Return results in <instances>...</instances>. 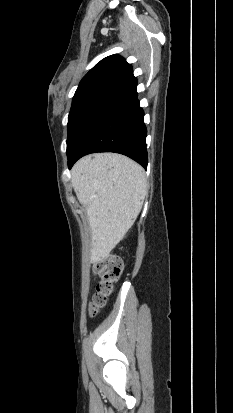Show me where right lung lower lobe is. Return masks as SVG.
<instances>
[{"label": "right lung lower lobe", "mask_w": 233, "mask_h": 413, "mask_svg": "<svg viewBox=\"0 0 233 413\" xmlns=\"http://www.w3.org/2000/svg\"><path fill=\"white\" fill-rule=\"evenodd\" d=\"M133 71L120 77L90 114L68 156V166L94 152L124 154L147 168L144 112Z\"/></svg>", "instance_id": "obj_1"}]
</instances>
